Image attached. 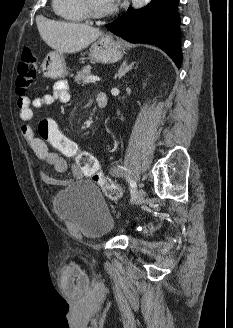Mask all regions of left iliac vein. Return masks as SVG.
I'll use <instances>...</instances> for the list:
<instances>
[{
  "instance_id": "4c4485c4",
  "label": "left iliac vein",
  "mask_w": 233,
  "mask_h": 328,
  "mask_svg": "<svg viewBox=\"0 0 233 328\" xmlns=\"http://www.w3.org/2000/svg\"><path fill=\"white\" fill-rule=\"evenodd\" d=\"M145 200V191L140 188L135 194L134 202L136 205H140L144 202Z\"/></svg>"
}]
</instances>
